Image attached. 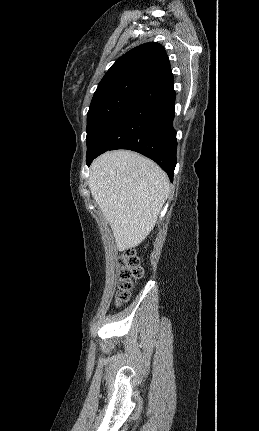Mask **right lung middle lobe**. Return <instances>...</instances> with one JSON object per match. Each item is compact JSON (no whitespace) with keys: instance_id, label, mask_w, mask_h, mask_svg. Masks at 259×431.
<instances>
[{"instance_id":"right-lung-middle-lobe-1","label":"right lung middle lobe","mask_w":259,"mask_h":431,"mask_svg":"<svg viewBox=\"0 0 259 431\" xmlns=\"http://www.w3.org/2000/svg\"><path fill=\"white\" fill-rule=\"evenodd\" d=\"M149 91L151 89L148 86L138 81H129L95 92L87 114V152L112 123Z\"/></svg>"}]
</instances>
